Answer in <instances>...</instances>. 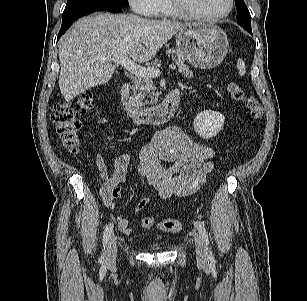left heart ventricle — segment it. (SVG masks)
I'll list each match as a JSON object with an SVG mask.
<instances>
[{
    "label": "left heart ventricle",
    "mask_w": 307,
    "mask_h": 301,
    "mask_svg": "<svg viewBox=\"0 0 307 301\" xmlns=\"http://www.w3.org/2000/svg\"><path fill=\"white\" fill-rule=\"evenodd\" d=\"M188 8L204 15H216L225 12L229 7V0H184Z\"/></svg>",
    "instance_id": "left-heart-ventricle-1"
}]
</instances>
